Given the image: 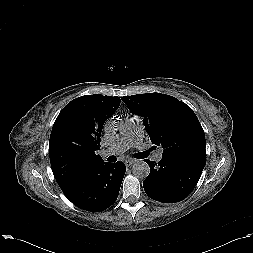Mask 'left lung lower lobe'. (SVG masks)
Wrapping results in <instances>:
<instances>
[{
    "label": "left lung lower lobe",
    "mask_w": 253,
    "mask_h": 253,
    "mask_svg": "<svg viewBox=\"0 0 253 253\" xmlns=\"http://www.w3.org/2000/svg\"><path fill=\"white\" fill-rule=\"evenodd\" d=\"M150 173L143 181L146 194L163 203L184 200L195 188L206 164L205 156L193 153L162 155L156 163L145 160Z\"/></svg>",
    "instance_id": "1"
}]
</instances>
